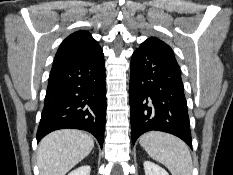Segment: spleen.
Segmentation results:
<instances>
[{
    "label": "spleen",
    "instance_id": "1",
    "mask_svg": "<svg viewBox=\"0 0 233 175\" xmlns=\"http://www.w3.org/2000/svg\"><path fill=\"white\" fill-rule=\"evenodd\" d=\"M140 145L156 161L164 164L172 175H191L192 158L188 146L179 138L163 132H147Z\"/></svg>",
    "mask_w": 233,
    "mask_h": 175
}]
</instances>
